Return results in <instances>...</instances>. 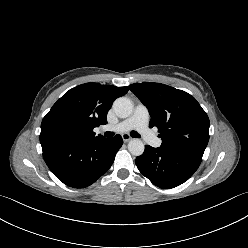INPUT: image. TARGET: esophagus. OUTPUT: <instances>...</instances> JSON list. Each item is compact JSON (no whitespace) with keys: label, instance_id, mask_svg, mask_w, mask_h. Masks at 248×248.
I'll return each instance as SVG.
<instances>
[{"label":"esophagus","instance_id":"34e87169","mask_svg":"<svg viewBox=\"0 0 248 248\" xmlns=\"http://www.w3.org/2000/svg\"><path fill=\"white\" fill-rule=\"evenodd\" d=\"M122 139L126 143V142L131 141L132 140V137L130 135H128V134H123L122 135Z\"/></svg>","mask_w":248,"mask_h":248}]
</instances>
